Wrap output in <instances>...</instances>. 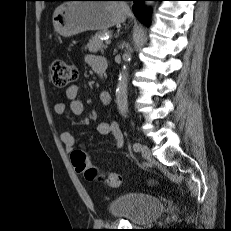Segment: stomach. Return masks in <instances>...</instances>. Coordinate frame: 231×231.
Listing matches in <instances>:
<instances>
[{
    "instance_id": "obj_1",
    "label": "stomach",
    "mask_w": 231,
    "mask_h": 231,
    "mask_svg": "<svg viewBox=\"0 0 231 231\" xmlns=\"http://www.w3.org/2000/svg\"><path fill=\"white\" fill-rule=\"evenodd\" d=\"M52 20L57 33L71 37L85 31H106L123 23L126 12L121 2L77 0L58 6Z\"/></svg>"
}]
</instances>
